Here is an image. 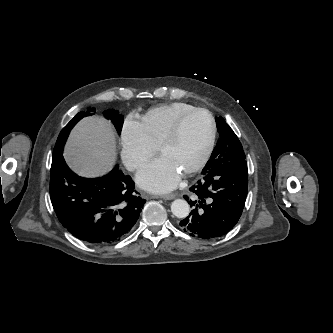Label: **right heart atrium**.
Returning a JSON list of instances; mask_svg holds the SVG:
<instances>
[{
	"label": "right heart atrium",
	"instance_id": "obj_1",
	"mask_svg": "<svg viewBox=\"0 0 333 333\" xmlns=\"http://www.w3.org/2000/svg\"><path fill=\"white\" fill-rule=\"evenodd\" d=\"M121 159L131 171L140 169L155 154L157 146L151 141L143 124L127 116L120 132Z\"/></svg>",
	"mask_w": 333,
	"mask_h": 333
}]
</instances>
